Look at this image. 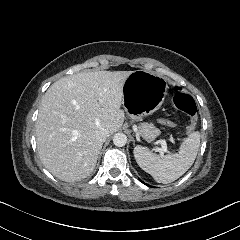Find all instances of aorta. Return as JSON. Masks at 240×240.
I'll list each match as a JSON object with an SVG mask.
<instances>
[{"label":"aorta","mask_w":240,"mask_h":240,"mask_svg":"<svg viewBox=\"0 0 240 240\" xmlns=\"http://www.w3.org/2000/svg\"><path fill=\"white\" fill-rule=\"evenodd\" d=\"M127 142V136L124 133H116L113 137V143L115 146L122 147Z\"/></svg>","instance_id":"762f6f07"}]
</instances>
